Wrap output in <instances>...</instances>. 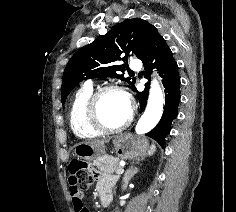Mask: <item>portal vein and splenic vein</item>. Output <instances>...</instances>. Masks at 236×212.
<instances>
[{"label":"portal vein and splenic vein","instance_id":"portal-vein-and-splenic-vein-1","mask_svg":"<svg viewBox=\"0 0 236 212\" xmlns=\"http://www.w3.org/2000/svg\"><path fill=\"white\" fill-rule=\"evenodd\" d=\"M124 173V169L123 168H120L116 171V174L120 175V174H123Z\"/></svg>","mask_w":236,"mask_h":212}]
</instances>
